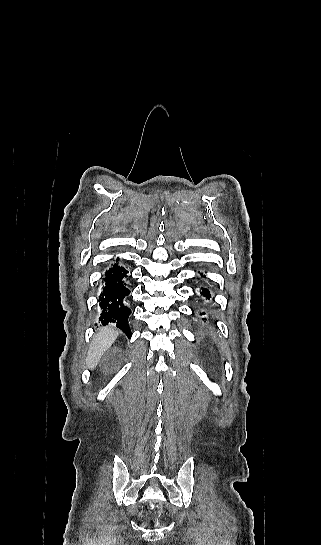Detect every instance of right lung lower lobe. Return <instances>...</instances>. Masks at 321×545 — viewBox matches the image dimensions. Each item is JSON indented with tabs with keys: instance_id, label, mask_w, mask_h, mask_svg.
<instances>
[{
	"instance_id": "98d812e1",
	"label": "right lung lower lobe",
	"mask_w": 321,
	"mask_h": 545,
	"mask_svg": "<svg viewBox=\"0 0 321 545\" xmlns=\"http://www.w3.org/2000/svg\"><path fill=\"white\" fill-rule=\"evenodd\" d=\"M127 273L128 271L118 264H114L112 268L106 271L104 278L106 282L105 287L99 296L100 307L102 309L99 320L103 325L115 322L117 327L121 328L130 337L131 331L128 325V316L131 310L123 304L124 297L130 294L129 289L124 286L122 281Z\"/></svg>"
}]
</instances>
